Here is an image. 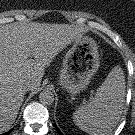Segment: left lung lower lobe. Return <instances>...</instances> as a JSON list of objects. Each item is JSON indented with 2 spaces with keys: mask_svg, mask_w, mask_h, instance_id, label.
Instances as JSON below:
<instances>
[{
  "mask_svg": "<svg viewBox=\"0 0 135 135\" xmlns=\"http://www.w3.org/2000/svg\"><path fill=\"white\" fill-rule=\"evenodd\" d=\"M57 128V127H56ZM57 131L59 132V133H61L59 130H58V128H57ZM61 135H63V134H61Z\"/></svg>",
  "mask_w": 135,
  "mask_h": 135,
  "instance_id": "0a47b994",
  "label": "left lung lower lobe"
}]
</instances>
